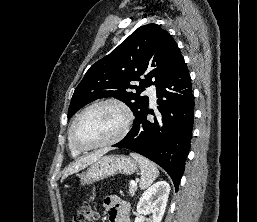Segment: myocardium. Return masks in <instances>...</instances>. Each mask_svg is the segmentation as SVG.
Here are the masks:
<instances>
[{
  "mask_svg": "<svg viewBox=\"0 0 257 222\" xmlns=\"http://www.w3.org/2000/svg\"><path fill=\"white\" fill-rule=\"evenodd\" d=\"M104 105L115 106L118 109H120L121 112L123 113L124 121H123V125H122V128L120 129V131L114 137H112L104 142L98 143V144L82 145V144L78 143V141L75 138V128H76V125L79 122V120L88 111L92 110L93 108L104 106ZM131 123H132V112H131L130 107L127 105V103H125L123 100H120L118 98L102 99V100H99V101H96V102L90 104L89 106L84 108L75 117V119L70 127V130H69V140H70V143L72 144V146L81 152L99 149V148H103V147H108V146L117 144L118 142H120L122 139L125 138V136L128 134V132L130 130Z\"/></svg>",
  "mask_w": 257,
  "mask_h": 222,
  "instance_id": "f54148a6",
  "label": "myocardium"
}]
</instances>
